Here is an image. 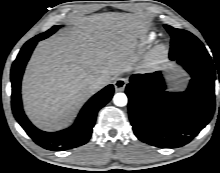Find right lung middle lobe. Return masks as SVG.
Instances as JSON below:
<instances>
[{"label": "right lung middle lobe", "instance_id": "dd1d6c3e", "mask_svg": "<svg viewBox=\"0 0 220 173\" xmlns=\"http://www.w3.org/2000/svg\"><path fill=\"white\" fill-rule=\"evenodd\" d=\"M58 28H59V26H54L51 29H49L47 32L38 35V37H43L42 39H45L48 36H50L51 34H53L54 32H56L58 30Z\"/></svg>", "mask_w": 220, "mask_h": 173}]
</instances>
